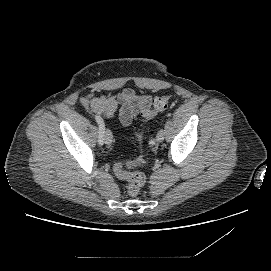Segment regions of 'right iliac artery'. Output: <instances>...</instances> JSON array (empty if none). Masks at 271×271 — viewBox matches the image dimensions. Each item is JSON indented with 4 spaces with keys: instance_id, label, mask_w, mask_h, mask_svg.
I'll use <instances>...</instances> for the list:
<instances>
[{
    "instance_id": "1",
    "label": "right iliac artery",
    "mask_w": 271,
    "mask_h": 271,
    "mask_svg": "<svg viewBox=\"0 0 271 271\" xmlns=\"http://www.w3.org/2000/svg\"><path fill=\"white\" fill-rule=\"evenodd\" d=\"M95 120L99 125V136H98V142L100 145H103L104 143V132H105V125L103 122V119L99 115H95Z\"/></svg>"
}]
</instances>
